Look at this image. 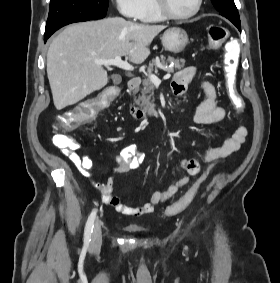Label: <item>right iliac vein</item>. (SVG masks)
Here are the masks:
<instances>
[{"instance_id":"right-iliac-vein-1","label":"right iliac vein","mask_w":280,"mask_h":283,"mask_svg":"<svg viewBox=\"0 0 280 283\" xmlns=\"http://www.w3.org/2000/svg\"><path fill=\"white\" fill-rule=\"evenodd\" d=\"M101 241H102L101 223L99 221H97L95 226H94V231H93V234H92L91 247L93 249L100 247Z\"/></svg>"}]
</instances>
